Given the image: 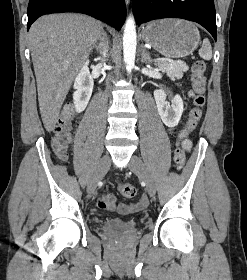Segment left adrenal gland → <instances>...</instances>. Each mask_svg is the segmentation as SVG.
<instances>
[{
  "mask_svg": "<svg viewBox=\"0 0 247 280\" xmlns=\"http://www.w3.org/2000/svg\"><path fill=\"white\" fill-rule=\"evenodd\" d=\"M141 62L142 63H151L152 62L150 55L147 53V51L144 47H142Z\"/></svg>",
  "mask_w": 247,
  "mask_h": 280,
  "instance_id": "left-adrenal-gland-1",
  "label": "left adrenal gland"
}]
</instances>
